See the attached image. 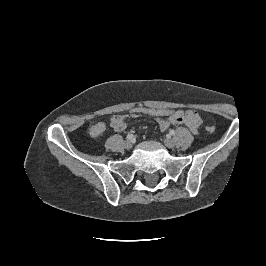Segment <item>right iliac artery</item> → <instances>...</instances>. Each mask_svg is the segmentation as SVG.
Listing matches in <instances>:
<instances>
[{"label":"right iliac artery","instance_id":"82829eb1","mask_svg":"<svg viewBox=\"0 0 266 266\" xmlns=\"http://www.w3.org/2000/svg\"><path fill=\"white\" fill-rule=\"evenodd\" d=\"M128 140H133L135 136L133 134H128L126 137Z\"/></svg>","mask_w":266,"mask_h":266}]
</instances>
